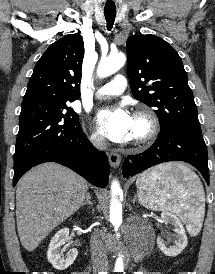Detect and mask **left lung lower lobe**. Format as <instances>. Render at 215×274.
I'll use <instances>...</instances> for the list:
<instances>
[{
	"mask_svg": "<svg viewBox=\"0 0 215 274\" xmlns=\"http://www.w3.org/2000/svg\"><path fill=\"white\" fill-rule=\"evenodd\" d=\"M168 161H184L193 165L209 185L208 154L201 130L185 127L161 130L159 137L148 150L126 158L123 175L128 178Z\"/></svg>",
	"mask_w": 215,
	"mask_h": 274,
	"instance_id": "1",
	"label": "left lung lower lobe"
}]
</instances>
